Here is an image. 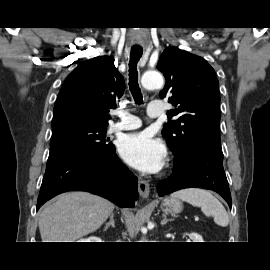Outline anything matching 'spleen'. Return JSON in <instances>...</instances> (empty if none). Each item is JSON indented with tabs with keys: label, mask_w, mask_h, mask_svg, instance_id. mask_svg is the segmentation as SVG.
<instances>
[{
	"label": "spleen",
	"mask_w": 270,
	"mask_h": 270,
	"mask_svg": "<svg viewBox=\"0 0 270 270\" xmlns=\"http://www.w3.org/2000/svg\"><path fill=\"white\" fill-rule=\"evenodd\" d=\"M171 197L200 207L206 216H213L214 222L221 227H226L229 223L225 208L209 191L189 188L176 191L171 194Z\"/></svg>",
	"instance_id": "1"
}]
</instances>
